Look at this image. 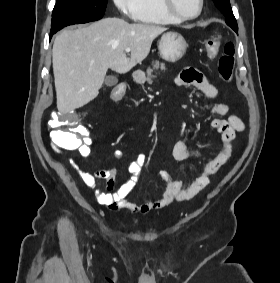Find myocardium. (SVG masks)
Masks as SVG:
<instances>
[{
	"label": "myocardium",
	"instance_id": "f54148a6",
	"mask_svg": "<svg viewBox=\"0 0 280 283\" xmlns=\"http://www.w3.org/2000/svg\"><path fill=\"white\" fill-rule=\"evenodd\" d=\"M162 2L166 12L180 21H188L198 18L203 12L205 3L204 0H199L198 11L194 15H184L175 8L173 0H162Z\"/></svg>",
	"mask_w": 280,
	"mask_h": 283
}]
</instances>
